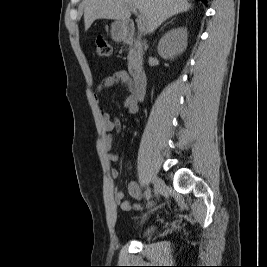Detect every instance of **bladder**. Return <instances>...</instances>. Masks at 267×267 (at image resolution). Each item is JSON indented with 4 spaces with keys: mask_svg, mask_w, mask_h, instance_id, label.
<instances>
[{
    "mask_svg": "<svg viewBox=\"0 0 267 267\" xmlns=\"http://www.w3.org/2000/svg\"><path fill=\"white\" fill-rule=\"evenodd\" d=\"M154 230H155L154 227H150V228L146 229L145 232L143 233V236H144V237L149 236L151 233L154 232Z\"/></svg>",
    "mask_w": 267,
    "mask_h": 267,
    "instance_id": "1",
    "label": "bladder"
}]
</instances>
